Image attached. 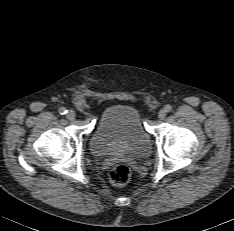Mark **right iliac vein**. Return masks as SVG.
<instances>
[{"label": "right iliac vein", "mask_w": 234, "mask_h": 231, "mask_svg": "<svg viewBox=\"0 0 234 231\" xmlns=\"http://www.w3.org/2000/svg\"><path fill=\"white\" fill-rule=\"evenodd\" d=\"M67 119L70 121L75 120L76 114L73 110H69L66 115Z\"/></svg>", "instance_id": "63e3f726"}]
</instances>
